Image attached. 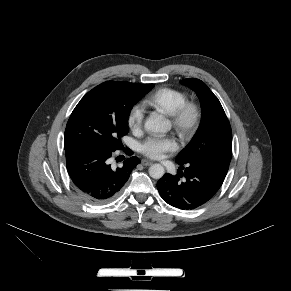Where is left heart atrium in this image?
<instances>
[{"instance_id":"obj_1","label":"left heart atrium","mask_w":291,"mask_h":291,"mask_svg":"<svg viewBox=\"0 0 291 291\" xmlns=\"http://www.w3.org/2000/svg\"><path fill=\"white\" fill-rule=\"evenodd\" d=\"M176 148L177 143L172 137H148L140 146L141 152L152 159H159Z\"/></svg>"}]
</instances>
